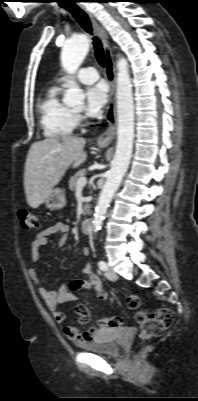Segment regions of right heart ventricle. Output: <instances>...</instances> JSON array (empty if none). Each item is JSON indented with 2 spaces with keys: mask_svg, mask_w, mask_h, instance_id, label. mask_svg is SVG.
I'll list each match as a JSON object with an SVG mask.
<instances>
[{
  "mask_svg": "<svg viewBox=\"0 0 198 401\" xmlns=\"http://www.w3.org/2000/svg\"><path fill=\"white\" fill-rule=\"evenodd\" d=\"M59 95L60 88L52 86L38 104L41 127L50 138L69 136L77 125L74 111L60 100Z\"/></svg>",
  "mask_w": 198,
  "mask_h": 401,
  "instance_id": "obj_1",
  "label": "right heart ventricle"
}]
</instances>
